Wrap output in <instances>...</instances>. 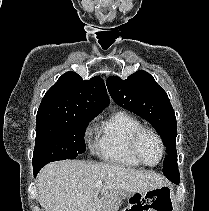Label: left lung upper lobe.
I'll use <instances>...</instances> for the list:
<instances>
[{"label":"left lung upper lobe","mask_w":209,"mask_h":211,"mask_svg":"<svg viewBox=\"0 0 209 211\" xmlns=\"http://www.w3.org/2000/svg\"><path fill=\"white\" fill-rule=\"evenodd\" d=\"M106 84L111 97L119 106L146 119L161 136L167 153L164 175L179 174L175 147L176 118L167 93L144 70L133 73L126 80L111 76Z\"/></svg>","instance_id":"obj_1"}]
</instances>
